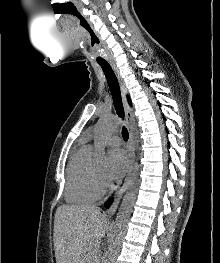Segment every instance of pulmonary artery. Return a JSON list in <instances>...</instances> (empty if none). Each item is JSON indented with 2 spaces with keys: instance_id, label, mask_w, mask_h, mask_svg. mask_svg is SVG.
<instances>
[{
  "instance_id": "1",
  "label": "pulmonary artery",
  "mask_w": 220,
  "mask_h": 263,
  "mask_svg": "<svg viewBox=\"0 0 220 263\" xmlns=\"http://www.w3.org/2000/svg\"><path fill=\"white\" fill-rule=\"evenodd\" d=\"M120 143L121 139L118 136H111L105 141V144L108 146H118ZM88 147L92 149L93 146L89 145Z\"/></svg>"
}]
</instances>
